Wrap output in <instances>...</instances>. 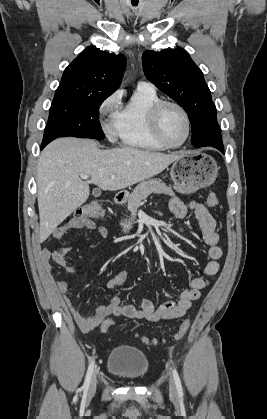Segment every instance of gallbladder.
Returning <instances> with one entry per match:
<instances>
[{"mask_svg":"<svg viewBox=\"0 0 267 419\" xmlns=\"http://www.w3.org/2000/svg\"><path fill=\"white\" fill-rule=\"evenodd\" d=\"M100 194H101V191L99 189H94L93 191L94 196H99Z\"/></svg>","mask_w":267,"mask_h":419,"instance_id":"bac80fb5","label":"gallbladder"}]
</instances>
